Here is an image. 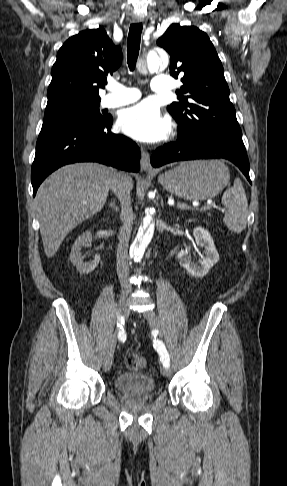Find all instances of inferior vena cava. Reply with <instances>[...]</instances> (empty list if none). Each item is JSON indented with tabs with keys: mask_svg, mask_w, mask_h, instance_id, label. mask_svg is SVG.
I'll return each mask as SVG.
<instances>
[{
	"mask_svg": "<svg viewBox=\"0 0 287 486\" xmlns=\"http://www.w3.org/2000/svg\"><path fill=\"white\" fill-rule=\"evenodd\" d=\"M110 188L121 203L120 218L123 225L118 235L119 245L117 249L116 264L120 283L124 289H128L131 288L127 282V276L129 273L128 243L131 236L132 222L134 218L130 201V189L126 186L124 175L120 172H116L114 174Z\"/></svg>",
	"mask_w": 287,
	"mask_h": 486,
	"instance_id": "obj_1",
	"label": "inferior vena cava"
}]
</instances>
